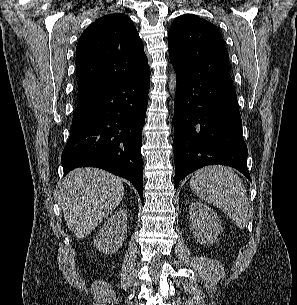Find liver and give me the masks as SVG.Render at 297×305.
I'll return each instance as SVG.
<instances>
[{
  "label": "liver",
  "instance_id": "6515ba94",
  "mask_svg": "<svg viewBox=\"0 0 297 305\" xmlns=\"http://www.w3.org/2000/svg\"><path fill=\"white\" fill-rule=\"evenodd\" d=\"M123 195L122 179L105 170L86 167L66 176L59 202L68 228L83 239L119 206Z\"/></svg>",
  "mask_w": 297,
  "mask_h": 305
}]
</instances>
